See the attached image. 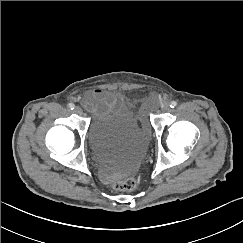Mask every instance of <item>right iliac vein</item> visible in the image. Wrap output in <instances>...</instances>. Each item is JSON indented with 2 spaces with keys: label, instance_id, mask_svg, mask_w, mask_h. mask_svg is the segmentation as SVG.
<instances>
[{
  "label": "right iliac vein",
  "instance_id": "63e3f726",
  "mask_svg": "<svg viewBox=\"0 0 243 243\" xmlns=\"http://www.w3.org/2000/svg\"><path fill=\"white\" fill-rule=\"evenodd\" d=\"M74 111H75V113H77L78 115H82V114H83V110H82L81 107H78V106L75 107Z\"/></svg>",
  "mask_w": 243,
  "mask_h": 243
}]
</instances>
